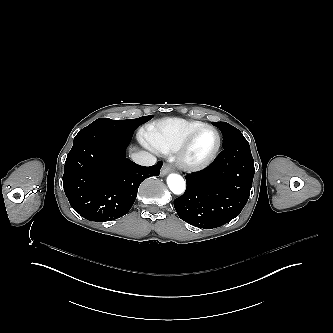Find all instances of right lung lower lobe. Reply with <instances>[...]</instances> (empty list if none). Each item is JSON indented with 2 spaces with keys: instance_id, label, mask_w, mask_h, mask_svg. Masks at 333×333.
Masks as SVG:
<instances>
[{
  "instance_id": "obj_1",
  "label": "right lung lower lobe",
  "mask_w": 333,
  "mask_h": 333,
  "mask_svg": "<svg viewBox=\"0 0 333 333\" xmlns=\"http://www.w3.org/2000/svg\"><path fill=\"white\" fill-rule=\"evenodd\" d=\"M131 134L85 127L75 137L63 175L71 207L91 221H111L132 207L140 183L158 176L162 162L140 166L126 158Z\"/></svg>"
}]
</instances>
